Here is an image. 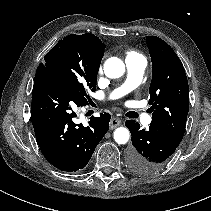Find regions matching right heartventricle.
I'll return each instance as SVG.
<instances>
[{
  "label": "right heart ventricle",
  "mask_w": 211,
  "mask_h": 211,
  "mask_svg": "<svg viewBox=\"0 0 211 211\" xmlns=\"http://www.w3.org/2000/svg\"><path fill=\"white\" fill-rule=\"evenodd\" d=\"M134 54H136V53H134V52H129V53L127 54L126 57H128V56H130V55H134Z\"/></svg>",
  "instance_id": "1"
}]
</instances>
